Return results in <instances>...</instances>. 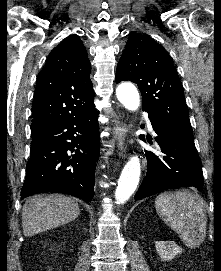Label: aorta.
Wrapping results in <instances>:
<instances>
[{"instance_id": "1", "label": "aorta", "mask_w": 221, "mask_h": 271, "mask_svg": "<svg viewBox=\"0 0 221 271\" xmlns=\"http://www.w3.org/2000/svg\"><path fill=\"white\" fill-rule=\"evenodd\" d=\"M120 103L129 111H136L140 105L137 88L129 82L120 84L116 89ZM141 165L138 156H132L124 166L115 191L117 204H124L136 190L140 180Z\"/></svg>"}]
</instances>
